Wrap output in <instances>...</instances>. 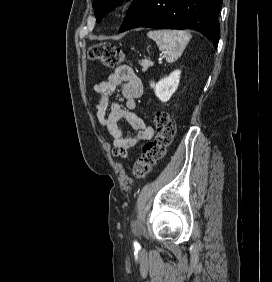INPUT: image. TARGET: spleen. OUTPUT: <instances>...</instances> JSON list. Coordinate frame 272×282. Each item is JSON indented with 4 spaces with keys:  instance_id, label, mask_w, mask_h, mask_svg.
<instances>
[{
    "instance_id": "3e777b00",
    "label": "spleen",
    "mask_w": 272,
    "mask_h": 282,
    "mask_svg": "<svg viewBox=\"0 0 272 282\" xmlns=\"http://www.w3.org/2000/svg\"><path fill=\"white\" fill-rule=\"evenodd\" d=\"M147 36L156 42L160 51H165L168 63L175 62L182 55L191 39L189 32L178 30H154Z\"/></svg>"
}]
</instances>
